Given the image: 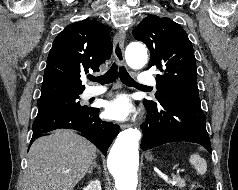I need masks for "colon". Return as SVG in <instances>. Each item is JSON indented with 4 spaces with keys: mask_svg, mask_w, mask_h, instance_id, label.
<instances>
[{
    "mask_svg": "<svg viewBox=\"0 0 238 190\" xmlns=\"http://www.w3.org/2000/svg\"><path fill=\"white\" fill-rule=\"evenodd\" d=\"M191 190H204V188H203V186H201L199 184H192Z\"/></svg>",
    "mask_w": 238,
    "mask_h": 190,
    "instance_id": "obj_1",
    "label": "colon"
}]
</instances>
